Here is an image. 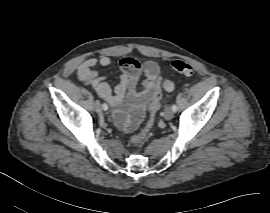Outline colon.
Returning a JSON list of instances; mask_svg holds the SVG:
<instances>
[{"label":"colon","mask_w":270,"mask_h":213,"mask_svg":"<svg viewBox=\"0 0 270 213\" xmlns=\"http://www.w3.org/2000/svg\"><path fill=\"white\" fill-rule=\"evenodd\" d=\"M172 68L178 73L184 74L186 76H190L193 74L194 69L193 66L184 61V60H174L171 63ZM162 86L167 91H172L174 89V82L170 79H165L162 83ZM159 104H155L152 108L151 115L149 117L148 125L136 131L130 138V142L134 146H141L145 140L147 132L150 130L153 122L155 120L156 114L159 110Z\"/></svg>","instance_id":"colon-1"}]
</instances>
